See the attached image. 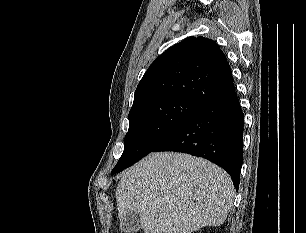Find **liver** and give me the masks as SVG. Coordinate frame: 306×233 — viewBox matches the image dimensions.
Listing matches in <instances>:
<instances>
[{"instance_id":"liver-1","label":"liver","mask_w":306,"mask_h":233,"mask_svg":"<svg viewBox=\"0 0 306 233\" xmlns=\"http://www.w3.org/2000/svg\"><path fill=\"white\" fill-rule=\"evenodd\" d=\"M115 194L118 217L138 213L144 233H192L223 224L235 190L231 177L206 159L158 152L127 169Z\"/></svg>"}]
</instances>
